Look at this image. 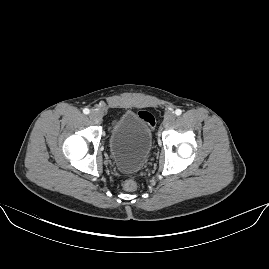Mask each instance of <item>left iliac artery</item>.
Here are the masks:
<instances>
[{
	"label": "left iliac artery",
	"instance_id": "44dca946",
	"mask_svg": "<svg viewBox=\"0 0 269 269\" xmlns=\"http://www.w3.org/2000/svg\"><path fill=\"white\" fill-rule=\"evenodd\" d=\"M181 113H182V111H181L180 109H176V110H175V114H176V115L179 116V115H181Z\"/></svg>",
	"mask_w": 269,
	"mask_h": 269
}]
</instances>
